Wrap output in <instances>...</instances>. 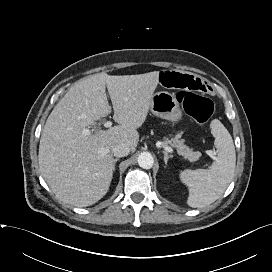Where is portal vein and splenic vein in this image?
I'll return each mask as SVG.
<instances>
[{"label": "portal vein and splenic vein", "mask_w": 272, "mask_h": 272, "mask_svg": "<svg viewBox=\"0 0 272 272\" xmlns=\"http://www.w3.org/2000/svg\"><path fill=\"white\" fill-rule=\"evenodd\" d=\"M111 126H112V122H111V121H107V122L104 123V127H106V128H109V127H111ZM83 134H85V135H90V134H91V131H90L88 128H86V129L83 130ZM164 149H165L167 152H169V153H172V152H173V149H172L171 147H169V146H165Z\"/></svg>", "instance_id": "18ae733b"}]
</instances>
